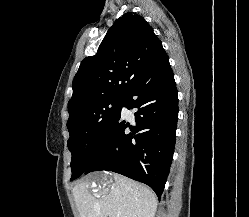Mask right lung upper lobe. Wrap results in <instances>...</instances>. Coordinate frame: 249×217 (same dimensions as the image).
<instances>
[{"mask_svg": "<svg viewBox=\"0 0 249 217\" xmlns=\"http://www.w3.org/2000/svg\"><path fill=\"white\" fill-rule=\"evenodd\" d=\"M161 41L142 16H121L96 55L83 59L73 80L69 114L93 101L125 97L164 54Z\"/></svg>", "mask_w": 249, "mask_h": 217, "instance_id": "right-lung-upper-lobe-1", "label": "right lung upper lobe"}]
</instances>
